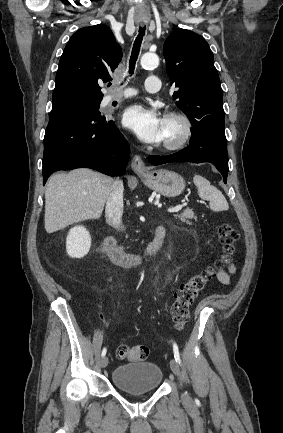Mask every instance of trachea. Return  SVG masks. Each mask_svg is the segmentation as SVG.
Here are the masks:
<instances>
[{"label":"trachea","mask_w":283,"mask_h":433,"mask_svg":"<svg viewBox=\"0 0 283 433\" xmlns=\"http://www.w3.org/2000/svg\"><path fill=\"white\" fill-rule=\"evenodd\" d=\"M145 30H146L145 26L143 28L140 27L139 31H138V35L134 41L133 48L131 51L130 60H129V74L130 75H132L134 73L135 64H136V61H137L138 56H139L142 40H143V37L145 35ZM110 85H111V83L108 84V86H110Z\"/></svg>","instance_id":"trachea-1"}]
</instances>
